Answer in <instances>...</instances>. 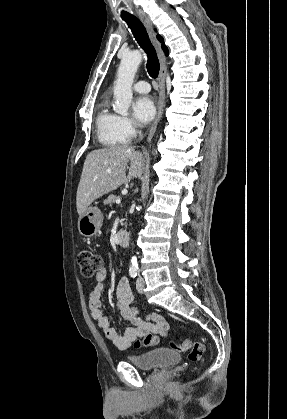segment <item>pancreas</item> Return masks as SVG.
<instances>
[{
    "label": "pancreas",
    "mask_w": 287,
    "mask_h": 419,
    "mask_svg": "<svg viewBox=\"0 0 287 419\" xmlns=\"http://www.w3.org/2000/svg\"><path fill=\"white\" fill-rule=\"evenodd\" d=\"M117 199H120V196H116V195H110L105 201L104 204H109L110 206H112Z\"/></svg>",
    "instance_id": "obj_1"
}]
</instances>
